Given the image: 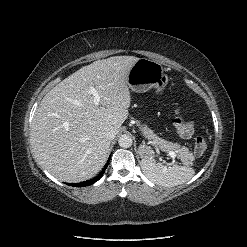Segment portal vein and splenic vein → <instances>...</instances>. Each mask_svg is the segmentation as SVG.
Returning <instances> with one entry per match:
<instances>
[{"label":"portal vein and splenic vein","mask_w":247,"mask_h":247,"mask_svg":"<svg viewBox=\"0 0 247 247\" xmlns=\"http://www.w3.org/2000/svg\"><path fill=\"white\" fill-rule=\"evenodd\" d=\"M90 93L93 95V101L95 105H98L100 102V95L98 94L97 90L94 87L90 88ZM169 156L172 158L173 162L175 161L176 158V153L174 151H169L168 152Z\"/></svg>","instance_id":"18ae733b"}]
</instances>
